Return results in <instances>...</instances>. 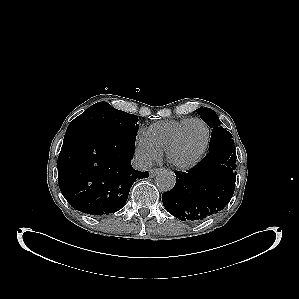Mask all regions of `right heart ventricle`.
<instances>
[{"label":"right heart ventricle","mask_w":299,"mask_h":299,"mask_svg":"<svg viewBox=\"0 0 299 299\" xmlns=\"http://www.w3.org/2000/svg\"><path fill=\"white\" fill-rule=\"evenodd\" d=\"M189 119L157 122L150 125L142 134L147 142L162 152L173 138L176 131Z\"/></svg>","instance_id":"1"}]
</instances>
